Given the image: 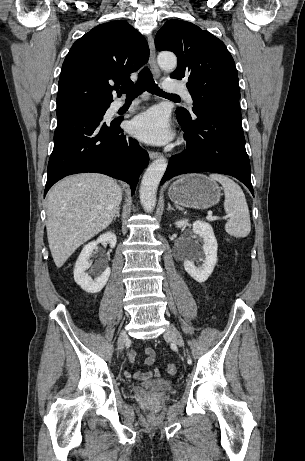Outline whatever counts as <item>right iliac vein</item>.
Instances as JSON below:
<instances>
[{"label":"right iliac vein","mask_w":305,"mask_h":461,"mask_svg":"<svg viewBox=\"0 0 305 461\" xmlns=\"http://www.w3.org/2000/svg\"><path fill=\"white\" fill-rule=\"evenodd\" d=\"M127 341H128V334L125 330H123L120 332L119 338H118V347L120 351L124 349V346Z\"/></svg>","instance_id":"63e3f726"}]
</instances>
